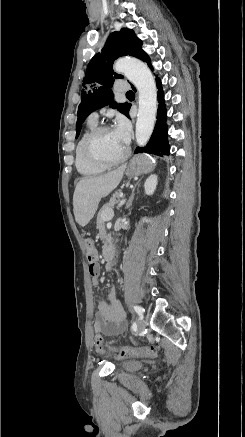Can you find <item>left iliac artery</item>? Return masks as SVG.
Segmentation results:
<instances>
[{"instance_id": "left-iliac-artery-1", "label": "left iliac artery", "mask_w": 245, "mask_h": 437, "mask_svg": "<svg viewBox=\"0 0 245 437\" xmlns=\"http://www.w3.org/2000/svg\"><path fill=\"white\" fill-rule=\"evenodd\" d=\"M135 312L142 318V314L144 313V309L140 306L135 305L134 307Z\"/></svg>"}]
</instances>
